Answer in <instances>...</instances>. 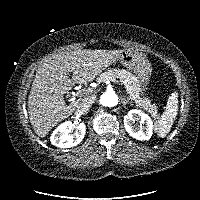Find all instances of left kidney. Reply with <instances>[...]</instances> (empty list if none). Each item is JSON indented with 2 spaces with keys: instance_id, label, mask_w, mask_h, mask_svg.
Listing matches in <instances>:
<instances>
[{
  "instance_id": "1",
  "label": "left kidney",
  "mask_w": 200,
  "mask_h": 200,
  "mask_svg": "<svg viewBox=\"0 0 200 200\" xmlns=\"http://www.w3.org/2000/svg\"><path fill=\"white\" fill-rule=\"evenodd\" d=\"M135 121L139 122L140 126H136ZM124 127L128 134L141 141L149 140L153 133V121L148 114L141 110L132 109L124 116Z\"/></svg>"
}]
</instances>
